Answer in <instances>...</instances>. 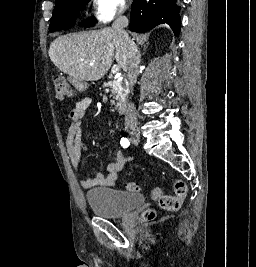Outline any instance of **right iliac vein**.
I'll return each mask as SVG.
<instances>
[{"label":"right iliac vein","mask_w":256,"mask_h":267,"mask_svg":"<svg viewBox=\"0 0 256 267\" xmlns=\"http://www.w3.org/2000/svg\"><path fill=\"white\" fill-rule=\"evenodd\" d=\"M135 143H138L139 142V135L137 132H133L132 134V138H131Z\"/></svg>","instance_id":"1"}]
</instances>
